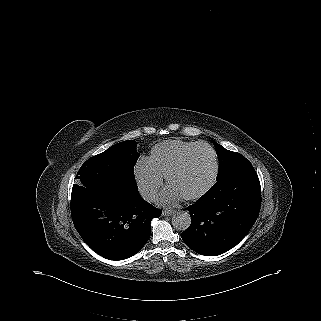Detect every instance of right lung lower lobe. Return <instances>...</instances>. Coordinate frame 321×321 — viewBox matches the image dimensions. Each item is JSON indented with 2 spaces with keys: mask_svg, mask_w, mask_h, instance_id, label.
Returning a JSON list of instances; mask_svg holds the SVG:
<instances>
[{
  "mask_svg": "<svg viewBox=\"0 0 321 321\" xmlns=\"http://www.w3.org/2000/svg\"><path fill=\"white\" fill-rule=\"evenodd\" d=\"M161 213L138 192L126 197L89 192L71 198L76 230L93 251L111 260L135 255L150 237L151 220Z\"/></svg>",
  "mask_w": 321,
  "mask_h": 321,
  "instance_id": "98d812e1",
  "label": "right lung lower lobe"
}]
</instances>
